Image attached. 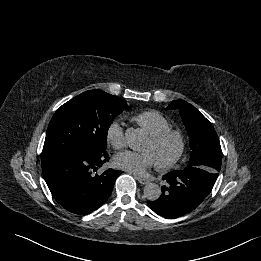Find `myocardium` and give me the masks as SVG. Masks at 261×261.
<instances>
[{
	"label": "myocardium",
	"mask_w": 261,
	"mask_h": 261,
	"mask_svg": "<svg viewBox=\"0 0 261 261\" xmlns=\"http://www.w3.org/2000/svg\"><path fill=\"white\" fill-rule=\"evenodd\" d=\"M169 140H174L177 144V148L172 157L157 163V167L160 170H168L181 160L186 150V138L180 129L174 128H168L156 135L150 136V141L157 146L163 145Z\"/></svg>",
	"instance_id": "myocardium-1"
}]
</instances>
